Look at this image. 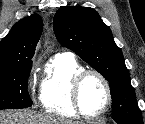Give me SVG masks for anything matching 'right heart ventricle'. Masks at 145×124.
I'll use <instances>...</instances> for the list:
<instances>
[{
    "label": "right heart ventricle",
    "mask_w": 145,
    "mask_h": 124,
    "mask_svg": "<svg viewBox=\"0 0 145 124\" xmlns=\"http://www.w3.org/2000/svg\"><path fill=\"white\" fill-rule=\"evenodd\" d=\"M82 70L83 66L73 56L61 54L51 59L39 90V102L46 112L63 118L79 117L71 89L74 77Z\"/></svg>",
    "instance_id": "1"
}]
</instances>
